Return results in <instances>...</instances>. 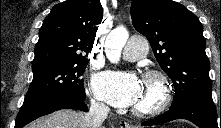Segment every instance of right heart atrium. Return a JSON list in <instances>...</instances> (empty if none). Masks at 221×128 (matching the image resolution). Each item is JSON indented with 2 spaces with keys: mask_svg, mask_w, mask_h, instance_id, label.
Returning a JSON list of instances; mask_svg holds the SVG:
<instances>
[{
  "mask_svg": "<svg viewBox=\"0 0 221 128\" xmlns=\"http://www.w3.org/2000/svg\"><path fill=\"white\" fill-rule=\"evenodd\" d=\"M92 105L96 108H102L103 104L99 102L95 97H92Z\"/></svg>",
  "mask_w": 221,
  "mask_h": 128,
  "instance_id": "obj_1",
  "label": "right heart atrium"
}]
</instances>
